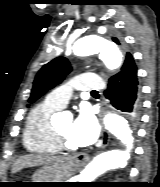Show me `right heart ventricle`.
Here are the masks:
<instances>
[{
	"mask_svg": "<svg viewBox=\"0 0 160 187\" xmlns=\"http://www.w3.org/2000/svg\"><path fill=\"white\" fill-rule=\"evenodd\" d=\"M58 109L46 100L32 108L23 130V146L26 151L42 156H53L61 152L51 122V115Z\"/></svg>",
	"mask_w": 160,
	"mask_h": 187,
	"instance_id": "right-heart-ventricle-1",
	"label": "right heart ventricle"
}]
</instances>
